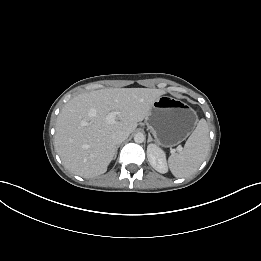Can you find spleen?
<instances>
[{"mask_svg":"<svg viewBox=\"0 0 261 261\" xmlns=\"http://www.w3.org/2000/svg\"><path fill=\"white\" fill-rule=\"evenodd\" d=\"M209 143L208 125L205 119H201L184 148L169 157L168 165L172 174L177 178L194 174L208 154Z\"/></svg>","mask_w":261,"mask_h":261,"instance_id":"3e777b00","label":"spleen"}]
</instances>
